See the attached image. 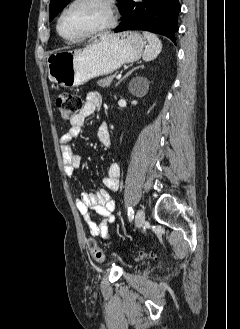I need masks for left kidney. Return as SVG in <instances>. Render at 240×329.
I'll return each mask as SVG.
<instances>
[{
    "label": "left kidney",
    "mask_w": 240,
    "mask_h": 329,
    "mask_svg": "<svg viewBox=\"0 0 240 329\" xmlns=\"http://www.w3.org/2000/svg\"><path fill=\"white\" fill-rule=\"evenodd\" d=\"M149 87V83L146 78L138 77L133 79L129 84V91L137 96H143Z\"/></svg>",
    "instance_id": "obj_1"
}]
</instances>
